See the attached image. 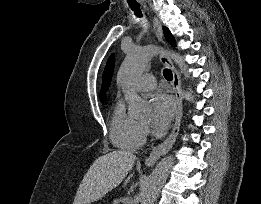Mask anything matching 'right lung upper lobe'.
Masks as SVG:
<instances>
[{
    "instance_id": "obj_1",
    "label": "right lung upper lobe",
    "mask_w": 261,
    "mask_h": 204,
    "mask_svg": "<svg viewBox=\"0 0 261 204\" xmlns=\"http://www.w3.org/2000/svg\"><path fill=\"white\" fill-rule=\"evenodd\" d=\"M114 65H115V58H114V55H111V57L109 58V60L107 62V65H106V68L104 71V75H103V84H102V89L100 92L101 101L103 100L105 93L110 86L112 75H113V70H114Z\"/></svg>"
}]
</instances>
